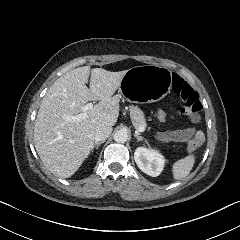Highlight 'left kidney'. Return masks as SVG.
Listing matches in <instances>:
<instances>
[{
    "label": "left kidney",
    "mask_w": 240,
    "mask_h": 240,
    "mask_svg": "<svg viewBox=\"0 0 240 240\" xmlns=\"http://www.w3.org/2000/svg\"><path fill=\"white\" fill-rule=\"evenodd\" d=\"M134 160L142 172L152 177L159 176L165 164V158L159 151L145 147L135 150Z\"/></svg>",
    "instance_id": "obj_1"
}]
</instances>
